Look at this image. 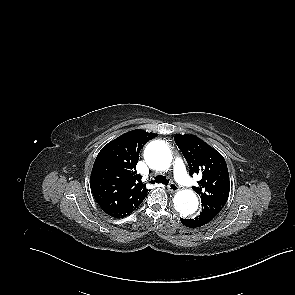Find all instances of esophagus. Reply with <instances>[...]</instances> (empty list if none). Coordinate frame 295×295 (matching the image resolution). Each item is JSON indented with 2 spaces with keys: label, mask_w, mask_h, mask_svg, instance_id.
<instances>
[{
  "label": "esophagus",
  "mask_w": 295,
  "mask_h": 295,
  "mask_svg": "<svg viewBox=\"0 0 295 295\" xmlns=\"http://www.w3.org/2000/svg\"><path fill=\"white\" fill-rule=\"evenodd\" d=\"M167 188H168V191H170V192H172V193H174V192H176V191L179 190L178 186H177L176 184H174V183H170V184L167 186Z\"/></svg>",
  "instance_id": "obj_1"
}]
</instances>
